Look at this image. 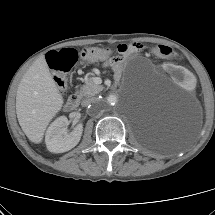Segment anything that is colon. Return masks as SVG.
I'll use <instances>...</instances> for the list:
<instances>
[{
    "label": "colon",
    "mask_w": 215,
    "mask_h": 215,
    "mask_svg": "<svg viewBox=\"0 0 215 215\" xmlns=\"http://www.w3.org/2000/svg\"><path fill=\"white\" fill-rule=\"evenodd\" d=\"M136 48L137 45L135 43H130L119 45L117 50L119 54H126L128 52H133ZM153 52L156 56L161 58H173L175 56V52L170 47L164 45L154 47ZM80 55L87 60H113L111 50L107 48H84ZM77 59L78 52L71 48L62 49L60 51H50L47 53V64L54 75L55 83L60 89L66 87V74L76 63ZM176 59L182 64L187 62V59L181 54H178Z\"/></svg>",
    "instance_id": "obj_1"
}]
</instances>
